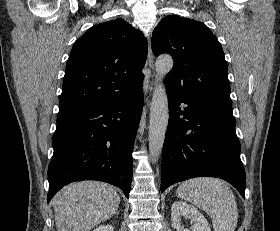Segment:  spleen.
Masks as SVG:
<instances>
[{
    "mask_svg": "<svg viewBox=\"0 0 280 231\" xmlns=\"http://www.w3.org/2000/svg\"><path fill=\"white\" fill-rule=\"evenodd\" d=\"M182 197L210 215L214 231H234L238 209L232 189L217 177H193L182 181L176 189Z\"/></svg>",
    "mask_w": 280,
    "mask_h": 231,
    "instance_id": "3e777b00",
    "label": "spleen"
}]
</instances>
